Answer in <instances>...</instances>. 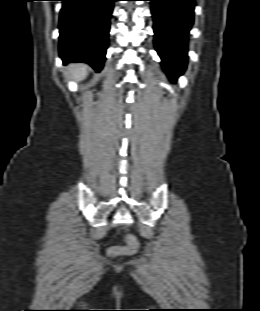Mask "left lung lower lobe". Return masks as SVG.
Returning a JSON list of instances; mask_svg holds the SVG:
<instances>
[{
	"mask_svg": "<svg viewBox=\"0 0 260 311\" xmlns=\"http://www.w3.org/2000/svg\"><path fill=\"white\" fill-rule=\"evenodd\" d=\"M149 1L152 2L156 50L165 72L175 81L187 64V35L193 23L195 0Z\"/></svg>",
	"mask_w": 260,
	"mask_h": 311,
	"instance_id": "obj_1",
	"label": "left lung lower lobe"
}]
</instances>
